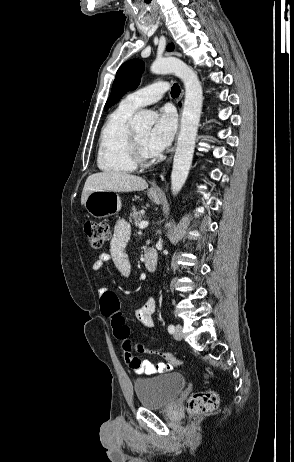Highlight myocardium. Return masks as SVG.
<instances>
[{
	"mask_svg": "<svg viewBox=\"0 0 294 462\" xmlns=\"http://www.w3.org/2000/svg\"><path fill=\"white\" fill-rule=\"evenodd\" d=\"M130 147L132 161L135 166L147 167L155 160V155H150L145 152L133 130L130 132Z\"/></svg>",
	"mask_w": 294,
	"mask_h": 462,
	"instance_id": "obj_1",
	"label": "myocardium"
}]
</instances>
